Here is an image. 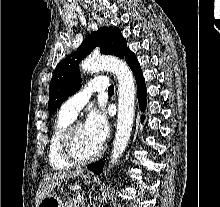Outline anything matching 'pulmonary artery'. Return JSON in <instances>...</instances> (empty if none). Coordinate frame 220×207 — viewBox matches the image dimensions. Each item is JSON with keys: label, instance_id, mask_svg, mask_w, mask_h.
I'll use <instances>...</instances> for the list:
<instances>
[{"label": "pulmonary artery", "instance_id": "pulmonary-artery-1", "mask_svg": "<svg viewBox=\"0 0 220 207\" xmlns=\"http://www.w3.org/2000/svg\"><path fill=\"white\" fill-rule=\"evenodd\" d=\"M108 79L104 76L95 77L85 87L67 99L60 107V113L75 118L78 112L90 100L94 92H101L108 88Z\"/></svg>", "mask_w": 220, "mask_h": 207}]
</instances>
